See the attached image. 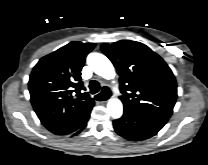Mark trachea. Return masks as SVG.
<instances>
[{"mask_svg": "<svg viewBox=\"0 0 208 165\" xmlns=\"http://www.w3.org/2000/svg\"><path fill=\"white\" fill-rule=\"evenodd\" d=\"M89 89L91 94H96L100 90V84L96 80L90 81ZM110 96V91L107 87H104L102 92L95 96V99L98 101L107 100Z\"/></svg>", "mask_w": 208, "mask_h": 165, "instance_id": "3493384b", "label": "trachea"}]
</instances>
